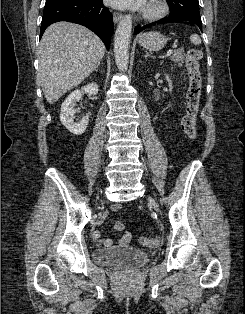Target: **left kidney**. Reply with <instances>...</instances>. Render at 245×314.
I'll return each mask as SVG.
<instances>
[{
  "mask_svg": "<svg viewBox=\"0 0 245 314\" xmlns=\"http://www.w3.org/2000/svg\"><path fill=\"white\" fill-rule=\"evenodd\" d=\"M166 80L168 81L170 91L172 90V81L170 80L168 75H165Z\"/></svg>",
  "mask_w": 245,
  "mask_h": 314,
  "instance_id": "1",
  "label": "left kidney"
}]
</instances>
